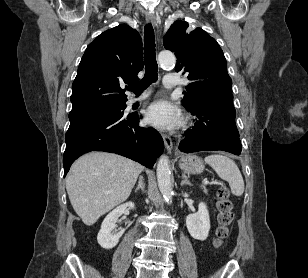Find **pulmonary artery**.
<instances>
[{
	"label": "pulmonary artery",
	"mask_w": 308,
	"mask_h": 278,
	"mask_svg": "<svg viewBox=\"0 0 308 278\" xmlns=\"http://www.w3.org/2000/svg\"><path fill=\"white\" fill-rule=\"evenodd\" d=\"M163 84L167 88H173L178 85V77L175 74H167L163 78ZM149 96V92H145L139 97H134L130 100V103L133 104L135 102L142 101Z\"/></svg>",
	"instance_id": "obj_1"
}]
</instances>
